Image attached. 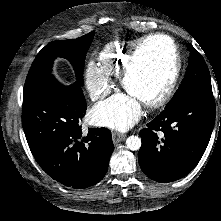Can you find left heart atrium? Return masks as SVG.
Instances as JSON below:
<instances>
[{"mask_svg":"<svg viewBox=\"0 0 221 221\" xmlns=\"http://www.w3.org/2000/svg\"><path fill=\"white\" fill-rule=\"evenodd\" d=\"M140 115V103L129 94H118L94 109V117L100 124L121 131L130 128Z\"/></svg>","mask_w":221,"mask_h":221,"instance_id":"1","label":"left heart atrium"}]
</instances>
